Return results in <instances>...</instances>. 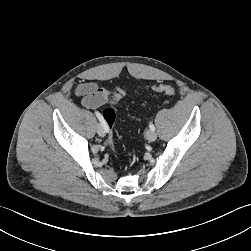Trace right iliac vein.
Segmentation results:
<instances>
[{
    "label": "right iliac vein",
    "instance_id": "obj_1",
    "mask_svg": "<svg viewBox=\"0 0 251 251\" xmlns=\"http://www.w3.org/2000/svg\"><path fill=\"white\" fill-rule=\"evenodd\" d=\"M97 133L99 136L104 137L106 132L101 124L97 125Z\"/></svg>",
    "mask_w": 251,
    "mask_h": 251
}]
</instances>
